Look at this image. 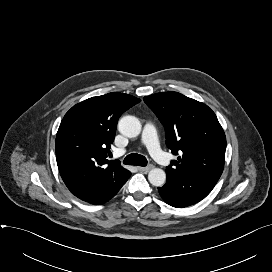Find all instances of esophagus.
I'll use <instances>...</instances> for the list:
<instances>
[{
	"label": "esophagus",
	"mask_w": 272,
	"mask_h": 272,
	"mask_svg": "<svg viewBox=\"0 0 272 272\" xmlns=\"http://www.w3.org/2000/svg\"><path fill=\"white\" fill-rule=\"evenodd\" d=\"M153 168V165H148L146 167H138V170L141 172H148Z\"/></svg>",
	"instance_id": "esophagus-1"
}]
</instances>
